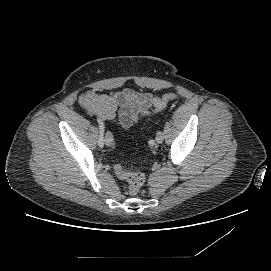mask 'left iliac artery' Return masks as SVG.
<instances>
[{
    "label": "left iliac artery",
    "instance_id": "1",
    "mask_svg": "<svg viewBox=\"0 0 271 271\" xmlns=\"http://www.w3.org/2000/svg\"><path fill=\"white\" fill-rule=\"evenodd\" d=\"M148 143L150 146H153L155 144L154 140H150Z\"/></svg>",
    "mask_w": 271,
    "mask_h": 271
}]
</instances>
